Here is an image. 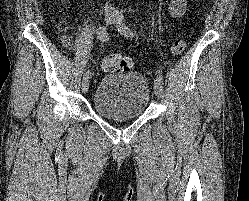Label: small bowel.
Instances as JSON below:
<instances>
[{
    "label": "small bowel",
    "instance_id": "small-bowel-1",
    "mask_svg": "<svg viewBox=\"0 0 249 201\" xmlns=\"http://www.w3.org/2000/svg\"><path fill=\"white\" fill-rule=\"evenodd\" d=\"M187 5L188 0H170L168 9L172 17L179 18L185 13ZM62 42L66 47H70L71 39L69 35L64 34L62 36Z\"/></svg>",
    "mask_w": 249,
    "mask_h": 201
}]
</instances>
